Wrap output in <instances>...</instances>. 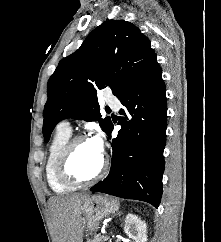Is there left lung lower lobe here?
<instances>
[{"mask_svg":"<svg viewBox=\"0 0 221 242\" xmlns=\"http://www.w3.org/2000/svg\"><path fill=\"white\" fill-rule=\"evenodd\" d=\"M121 130L112 140L109 175L90 190L146 201L158 208L162 196L166 142V87L159 65L121 94ZM113 124L107 135L111 138Z\"/></svg>","mask_w":221,"mask_h":242,"instance_id":"left-lung-lower-lobe-1","label":"left lung lower lobe"}]
</instances>
